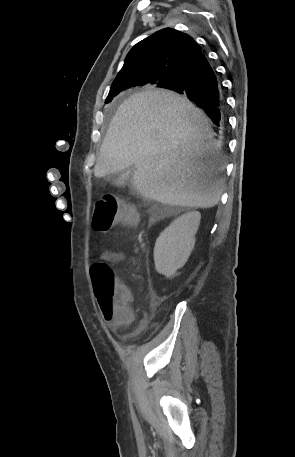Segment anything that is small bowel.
I'll use <instances>...</instances> for the list:
<instances>
[{
  "mask_svg": "<svg viewBox=\"0 0 295 457\" xmlns=\"http://www.w3.org/2000/svg\"><path fill=\"white\" fill-rule=\"evenodd\" d=\"M122 257H123V255L121 253H118V252H105L102 255V258L104 260L108 261V262H116V261L122 259ZM131 319H132V313L129 310V318H128V320H119V319H116V318L105 319V320L109 323V325L113 329H118L122 325L128 323Z\"/></svg>",
  "mask_w": 295,
  "mask_h": 457,
  "instance_id": "c3829d8e",
  "label": "small bowel"
}]
</instances>
